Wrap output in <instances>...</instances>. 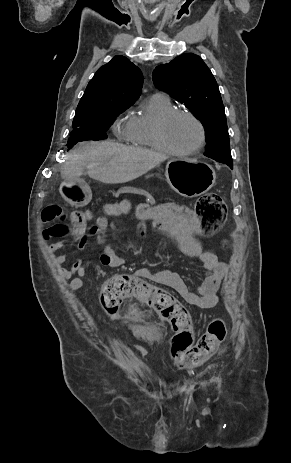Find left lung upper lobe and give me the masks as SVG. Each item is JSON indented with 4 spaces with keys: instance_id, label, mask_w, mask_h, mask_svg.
Returning a JSON list of instances; mask_svg holds the SVG:
<instances>
[{
    "instance_id": "obj_1",
    "label": "left lung upper lobe",
    "mask_w": 291,
    "mask_h": 463,
    "mask_svg": "<svg viewBox=\"0 0 291 463\" xmlns=\"http://www.w3.org/2000/svg\"><path fill=\"white\" fill-rule=\"evenodd\" d=\"M154 85L184 104L203 124L205 156L232 160L226 115L217 82L201 57L182 54L153 71Z\"/></svg>"
}]
</instances>
